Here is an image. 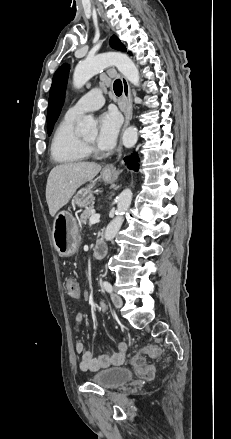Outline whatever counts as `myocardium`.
<instances>
[{"instance_id":"obj_1","label":"myocardium","mask_w":231,"mask_h":439,"mask_svg":"<svg viewBox=\"0 0 231 439\" xmlns=\"http://www.w3.org/2000/svg\"><path fill=\"white\" fill-rule=\"evenodd\" d=\"M82 141H83V144L86 147V149L88 151H91L92 150V144L90 142L86 141L85 139H82Z\"/></svg>"}]
</instances>
